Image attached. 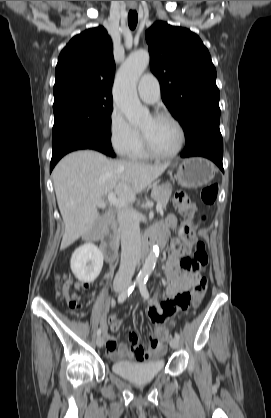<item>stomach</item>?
Masks as SVG:
<instances>
[{
    "instance_id": "1",
    "label": "stomach",
    "mask_w": 271,
    "mask_h": 418,
    "mask_svg": "<svg viewBox=\"0 0 271 418\" xmlns=\"http://www.w3.org/2000/svg\"><path fill=\"white\" fill-rule=\"evenodd\" d=\"M177 168L176 179L185 188H198L208 184L215 176L214 164L201 157L184 159L174 164Z\"/></svg>"
}]
</instances>
